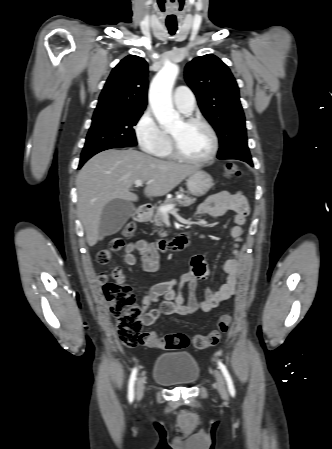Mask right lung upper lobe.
Here are the masks:
<instances>
[{
	"label": "right lung upper lobe",
	"mask_w": 332,
	"mask_h": 449,
	"mask_svg": "<svg viewBox=\"0 0 332 449\" xmlns=\"http://www.w3.org/2000/svg\"><path fill=\"white\" fill-rule=\"evenodd\" d=\"M148 64L129 55L113 68L100 94L94 115L144 111L147 105Z\"/></svg>",
	"instance_id": "obj_1"
}]
</instances>
